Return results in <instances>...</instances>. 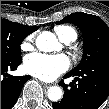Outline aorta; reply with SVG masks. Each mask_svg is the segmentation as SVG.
Here are the masks:
<instances>
[{"instance_id":"obj_1","label":"aorta","mask_w":109,"mask_h":109,"mask_svg":"<svg viewBox=\"0 0 109 109\" xmlns=\"http://www.w3.org/2000/svg\"><path fill=\"white\" fill-rule=\"evenodd\" d=\"M58 46V40L52 32L44 31L36 38V47L40 51L52 52L57 50ZM47 95L51 101L57 102L62 98L63 92L60 87L52 86L48 89Z\"/></svg>"}]
</instances>
